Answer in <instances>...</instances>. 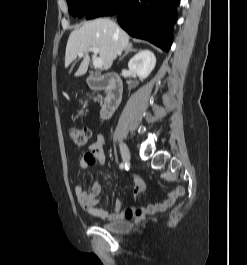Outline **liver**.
Masks as SVG:
<instances>
[{
	"instance_id": "6515ba94",
	"label": "liver",
	"mask_w": 247,
	"mask_h": 265,
	"mask_svg": "<svg viewBox=\"0 0 247 265\" xmlns=\"http://www.w3.org/2000/svg\"><path fill=\"white\" fill-rule=\"evenodd\" d=\"M128 45H130L128 34L115 22L107 18L95 19L70 34L66 46L65 67H68L78 54L83 52L85 56L75 76L84 75L90 61L88 49L97 47L100 58L103 60V69L108 70Z\"/></svg>"
}]
</instances>
